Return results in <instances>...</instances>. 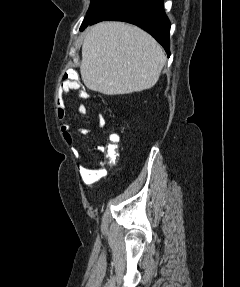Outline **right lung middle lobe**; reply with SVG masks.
I'll return each instance as SVG.
<instances>
[{"label": "right lung middle lobe", "instance_id": "1", "mask_svg": "<svg viewBox=\"0 0 240 287\" xmlns=\"http://www.w3.org/2000/svg\"><path fill=\"white\" fill-rule=\"evenodd\" d=\"M109 1L110 0H91L90 7L80 29L83 30L85 27H87Z\"/></svg>", "mask_w": 240, "mask_h": 287}]
</instances>
